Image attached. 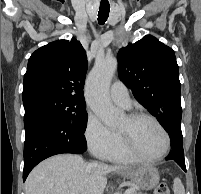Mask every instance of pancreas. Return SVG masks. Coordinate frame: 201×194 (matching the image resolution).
I'll list each match as a JSON object with an SVG mask.
<instances>
[{"label": "pancreas", "mask_w": 201, "mask_h": 194, "mask_svg": "<svg viewBox=\"0 0 201 194\" xmlns=\"http://www.w3.org/2000/svg\"><path fill=\"white\" fill-rule=\"evenodd\" d=\"M131 190L130 194H143L142 192L138 191L136 188L134 187H130L129 188Z\"/></svg>", "instance_id": "pancreas-1"}]
</instances>
